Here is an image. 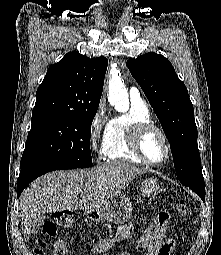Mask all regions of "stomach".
Segmentation results:
<instances>
[{"mask_svg":"<svg viewBox=\"0 0 221 255\" xmlns=\"http://www.w3.org/2000/svg\"><path fill=\"white\" fill-rule=\"evenodd\" d=\"M160 192V186L157 180L147 178L140 184L138 199L143 197H154ZM132 215V202L130 197L125 194H119L105 204L101 209L91 213L94 220H107L108 222L123 225L129 221Z\"/></svg>","mask_w":221,"mask_h":255,"instance_id":"0dacf381","label":"stomach"}]
</instances>
